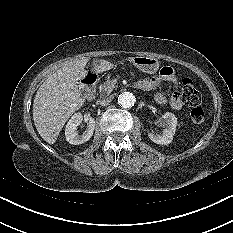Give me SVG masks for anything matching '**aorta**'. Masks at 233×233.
<instances>
[{
	"mask_svg": "<svg viewBox=\"0 0 233 233\" xmlns=\"http://www.w3.org/2000/svg\"><path fill=\"white\" fill-rule=\"evenodd\" d=\"M136 102V97L129 91L122 92L118 96V104L123 108H131Z\"/></svg>",
	"mask_w": 233,
	"mask_h": 233,
	"instance_id": "aorta-1",
	"label": "aorta"
}]
</instances>
